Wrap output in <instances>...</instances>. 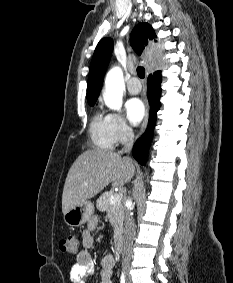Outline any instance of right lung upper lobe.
<instances>
[{
    "label": "right lung upper lobe",
    "instance_id": "right-lung-upper-lobe-1",
    "mask_svg": "<svg viewBox=\"0 0 233 283\" xmlns=\"http://www.w3.org/2000/svg\"><path fill=\"white\" fill-rule=\"evenodd\" d=\"M130 43L137 54H141L148 46L147 54H151V59H160L159 49L163 48L164 38H157L154 29L148 23H140L133 29L130 36ZM113 49V40L103 38L97 45L90 64L87 100L89 105H94L103 84L104 74L110 60Z\"/></svg>",
    "mask_w": 233,
    "mask_h": 283
}]
</instances>
